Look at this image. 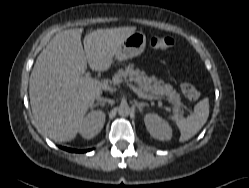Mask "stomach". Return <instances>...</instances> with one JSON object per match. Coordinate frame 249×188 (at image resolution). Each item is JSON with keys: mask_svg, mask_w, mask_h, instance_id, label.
I'll list each match as a JSON object with an SVG mask.
<instances>
[{"mask_svg": "<svg viewBox=\"0 0 249 188\" xmlns=\"http://www.w3.org/2000/svg\"><path fill=\"white\" fill-rule=\"evenodd\" d=\"M145 46V34L143 32H134L123 41L114 56V60L122 62L139 56L143 53Z\"/></svg>", "mask_w": 249, "mask_h": 188, "instance_id": "1", "label": "stomach"}]
</instances>
